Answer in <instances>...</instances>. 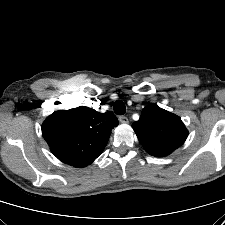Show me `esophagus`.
<instances>
[{"instance_id": "1", "label": "esophagus", "mask_w": 225, "mask_h": 225, "mask_svg": "<svg viewBox=\"0 0 225 225\" xmlns=\"http://www.w3.org/2000/svg\"><path fill=\"white\" fill-rule=\"evenodd\" d=\"M119 121H120L122 124H127V123H129L128 118H127L126 116H124V115L119 116Z\"/></svg>"}]
</instances>
